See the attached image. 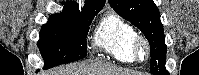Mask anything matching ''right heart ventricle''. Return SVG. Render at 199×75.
<instances>
[{"label": "right heart ventricle", "instance_id": "right-heart-ventricle-1", "mask_svg": "<svg viewBox=\"0 0 199 75\" xmlns=\"http://www.w3.org/2000/svg\"><path fill=\"white\" fill-rule=\"evenodd\" d=\"M132 25L116 14L106 16L95 32V45L121 62H133Z\"/></svg>", "mask_w": 199, "mask_h": 75}]
</instances>
